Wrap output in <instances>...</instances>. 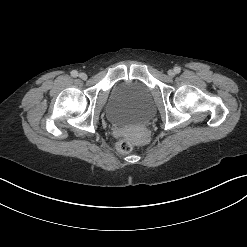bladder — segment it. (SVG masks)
<instances>
[{"mask_svg":"<svg viewBox=\"0 0 247 247\" xmlns=\"http://www.w3.org/2000/svg\"><path fill=\"white\" fill-rule=\"evenodd\" d=\"M105 113L115 125L144 124L155 114L152 92L138 81L120 82L111 92Z\"/></svg>","mask_w":247,"mask_h":247,"instance_id":"bladder-1","label":"bladder"}]
</instances>
